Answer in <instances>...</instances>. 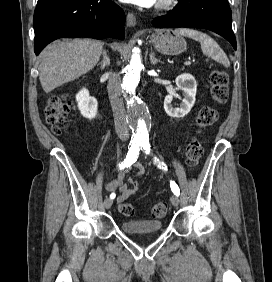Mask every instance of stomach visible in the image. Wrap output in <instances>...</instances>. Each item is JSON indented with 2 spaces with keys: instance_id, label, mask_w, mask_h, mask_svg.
Wrapping results in <instances>:
<instances>
[{
  "instance_id": "1",
  "label": "stomach",
  "mask_w": 272,
  "mask_h": 282,
  "mask_svg": "<svg viewBox=\"0 0 272 282\" xmlns=\"http://www.w3.org/2000/svg\"><path fill=\"white\" fill-rule=\"evenodd\" d=\"M155 49L166 55H178L186 50L185 39L167 29L156 30L150 37Z\"/></svg>"
}]
</instances>
